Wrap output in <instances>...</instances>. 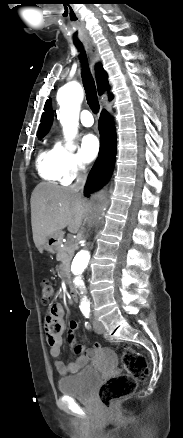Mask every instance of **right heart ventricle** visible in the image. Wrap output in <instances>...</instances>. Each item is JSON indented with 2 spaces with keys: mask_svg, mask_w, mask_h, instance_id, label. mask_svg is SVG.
<instances>
[{
  "mask_svg": "<svg viewBox=\"0 0 183 438\" xmlns=\"http://www.w3.org/2000/svg\"><path fill=\"white\" fill-rule=\"evenodd\" d=\"M37 167L43 178L52 182L60 180L61 176L57 169L56 148L43 150L38 157Z\"/></svg>",
  "mask_w": 183,
  "mask_h": 438,
  "instance_id": "obj_1",
  "label": "right heart ventricle"
}]
</instances>
